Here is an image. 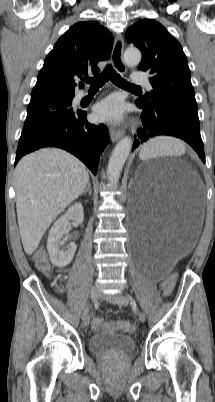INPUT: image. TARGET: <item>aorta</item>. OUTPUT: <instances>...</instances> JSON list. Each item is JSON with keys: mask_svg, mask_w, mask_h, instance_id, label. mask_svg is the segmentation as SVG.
Segmentation results:
<instances>
[{"mask_svg": "<svg viewBox=\"0 0 215 402\" xmlns=\"http://www.w3.org/2000/svg\"><path fill=\"white\" fill-rule=\"evenodd\" d=\"M124 63L128 67H135L141 61V52L137 48H128L123 55ZM131 137L122 138L115 146L107 167V178L111 185H117L123 166L132 148Z\"/></svg>", "mask_w": 215, "mask_h": 402, "instance_id": "aorta-1", "label": "aorta"}]
</instances>
